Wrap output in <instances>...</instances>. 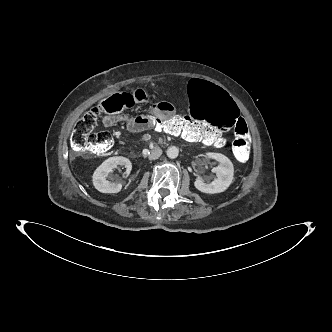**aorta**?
<instances>
[{
    "instance_id": "aorta-1",
    "label": "aorta",
    "mask_w": 332,
    "mask_h": 332,
    "mask_svg": "<svg viewBox=\"0 0 332 332\" xmlns=\"http://www.w3.org/2000/svg\"><path fill=\"white\" fill-rule=\"evenodd\" d=\"M178 154H179V150L176 146H171L167 149V156L170 158V159H175L178 157Z\"/></svg>"
}]
</instances>
